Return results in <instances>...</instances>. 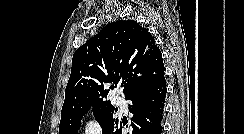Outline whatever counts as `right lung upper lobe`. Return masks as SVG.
I'll return each mask as SVG.
<instances>
[{
  "label": "right lung upper lobe",
  "mask_w": 244,
  "mask_h": 134,
  "mask_svg": "<svg viewBox=\"0 0 244 134\" xmlns=\"http://www.w3.org/2000/svg\"><path fill=\"white\" fill-rule=\"evenodd\" d=\"M164 73L161 51L147 28L133 20L109 23L75 51L61 119L107 102V83L122 81L126 97Z\"/></svg>",
  "instance_id": "1"
}]
</instances>
